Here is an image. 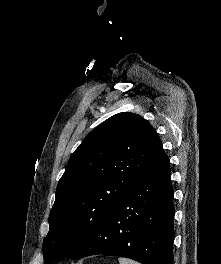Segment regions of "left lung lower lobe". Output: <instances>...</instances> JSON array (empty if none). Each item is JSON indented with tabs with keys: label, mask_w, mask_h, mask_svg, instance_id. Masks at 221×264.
Segmentation results:
<instances>
[{
	"label": "left lung lower lobe",
	"mask_w": 221,
	"mask_h": 264,
	"mask_svg": "<svg viewBox=\"0 0 221 264\" xmlns=\"http://www.w3.org/2000/svg\"><path fill=\"white\" fill-rule=\"evenodd\" d=\"M170 177L169 158L164 153L68 257L102 254L142 264H173L174 191Z\"/></svg>",
	"instance_id": "left-lung-lower-lobe-1"
}]
</instances>
